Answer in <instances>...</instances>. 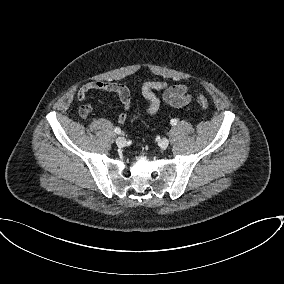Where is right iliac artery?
<instances>
[{"mask_svg": "<svg viewBox=\"0 0 284 284\" xmlns=\"http://www.w3.org/2000/svg\"><path fill=\"white\" fill-rule=\"evenodd\" d=\"M114 131H115V133H117V134H120V133H121V129L118 128V127H116V128L114 129Z\"/></svg>", "mask_w": 284, "mask_h": 284, "instance_id": "1", "label": "right iliac artery"}]
</instances>
